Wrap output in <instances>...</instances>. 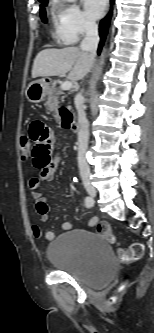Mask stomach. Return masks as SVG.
I'll return each instance as SVG.
<instances>
[{"label": "stomach", "instance_id": "stomach-1", "mask_svg": "<svg viewBox=\"0 0 154 333\" xmlns=\"http://www.w3.org/2000/svg\"><path fill=\"white\" fill-rule=\"evenodd\" d=\"M49 87L50 85L45 79L33 81L25 91L26 98L31 103H39L48 95Z\"/></svg>", "mask_w": 154, "mask_h": 333}]
</instances>
